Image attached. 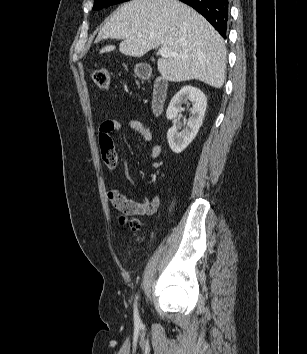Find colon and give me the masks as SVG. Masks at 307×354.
Masks as SVG:
<instances>
[{"label": "colon", "instance_id": "obj_1", "mask_svg": "<svg viewBox=\"0 0 307 354\" xmlns=\"http://www.w3.org/2000/svg\"><path fill=\"white\" fill-rule=\"evenodd\" d=\"M91 79L99 88L101 89H108L110 85V73L107 68L100 67L93 69L91 71ZM123 212V216L121 221L124 222V218L128 214H135V215H149L152 212V209L148 205H143V207L139 208L136 211H130L127 208H120ZM143 222L140 218H133L129 221V227L132 231H138L142 228Z\"/></svg>", "mask_w": 307, "mask_h": 354}]
</instances>
